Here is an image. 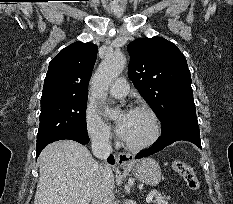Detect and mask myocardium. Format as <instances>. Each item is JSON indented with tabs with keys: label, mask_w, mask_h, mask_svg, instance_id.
Wrapping results in <instances>:
<instances>
[{
	"label": "myocardium",
	"mask_w": 233,
	"mask_h": 204,
	"mask_svg": "<svg viewBox=\"0 0 233 204\" xmlns=\"http://www.w3.org/2000/svg\"><path fill=\"white\" fill-rule=\"evenodd\" d=\"M130 112H141L146 114L152 123V133L147 140L142 143L132 144L123 139L124 146L131 151H142L154 145L161 135V124L157 114L147 106H134Z\"/></svg>",
	"instance_id": "1"
}]
</instances>
